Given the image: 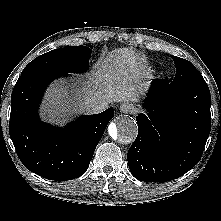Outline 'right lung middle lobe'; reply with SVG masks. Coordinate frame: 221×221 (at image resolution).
I'll use <instances>...</instances> for the list:
<instances>
[{"label": "right lung middle lobe", "instance_id": "obj_1", "mask_svg": "<svg viewBox=\"0 0 221 221\" xmlns=\"http://www.w3.org/2000/svg\"><path fill=\"white\" fill-rule=\"evenodd\" d=\"M91 49L86 46H71L55 49L32 60L22 71L47 70L60 73L83 72L87 70Z\"/></svg>", "mask_w": 221, "mask_h": 221}]
</instances>
